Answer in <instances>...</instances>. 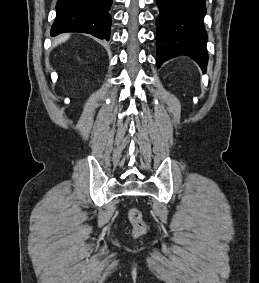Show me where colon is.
I'll list each match as a JSON object with an SVG mask.
<instances>
[{
	"label": "colon",
	"instance_id": "1",
	"mask_svg": "<svg viewBox=\"0 0 259 283\" xmlns=\"http://www.w3.org/2000/svg\"><path fill=\"white\" fill-rule=\"evenodd\" d=\"M128 219L133 225L135 234H142L145 231L146 225L143 220L142 214L138 209H130L128 212Z\"/></svg>",
	"mask_w": 259,
	"mask_h": 283
}]
</instances>
